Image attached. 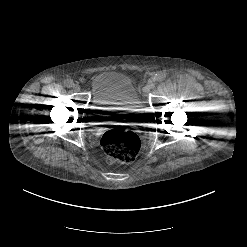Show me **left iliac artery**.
Segmentation results:
<instances>
[{"label":"left iliac artery","mask_w":247,"mask_h":247,"mask_svg":"<svg viewBox=\"0 0 247 247\" xmlns=\"http://www.w3.org/2000/svg\"><path fill=\"white\" fill-rule=\"evenodd\" d=\"M165 78H166V74L163 72H158L154 76V80L159 81V82L163 81Z\"/></svg>","instance_id":"left-iliac-artery-1"}]
</instances>
